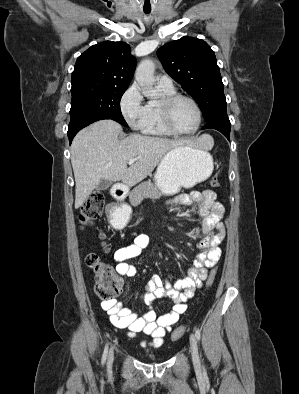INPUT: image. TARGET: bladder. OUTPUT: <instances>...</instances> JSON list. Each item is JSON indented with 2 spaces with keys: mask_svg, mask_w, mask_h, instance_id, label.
Here are the masks:
<instances>
[{
  "mask_svg": "<svg viewBox=\"0 0 299 394\" xmlns=\"http://www.w3.org/2000/svg\"><path fill=\"white\" fill-rule=\"evenodd\" d=\"M146 357L149 359V360H157V356L155 355V354H153V353H148V354H146Z\"/></svg>",
  "mask_w": 299,
  "mask_h": 394,
  "instance_id": "obj_1",
  "label": "bladder"
}]
</instances>
